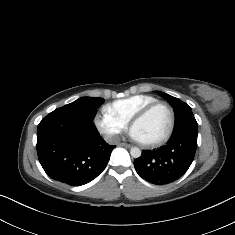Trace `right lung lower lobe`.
<instances>
[{"label": "right lung lower lobe", "instance_id": "obj_1", "mask_svg": "<svg viewBox=\"0 0 235 235\" xmlns=\"http://www.w3.org/2000/svg\"><path fill=\"white\" fill-rule=\"evenodd\" d=\"M93 120L56 109L38 125L37 154L46 174L72 186L84 185L106 167L112 149Z\"/></svg>", "mask_w": 235, "mask_h": 235}]
</instances>
